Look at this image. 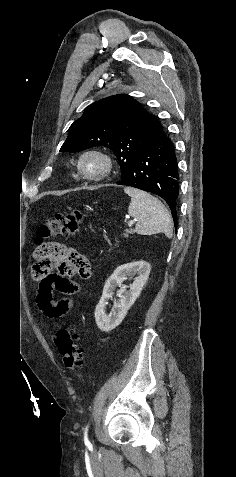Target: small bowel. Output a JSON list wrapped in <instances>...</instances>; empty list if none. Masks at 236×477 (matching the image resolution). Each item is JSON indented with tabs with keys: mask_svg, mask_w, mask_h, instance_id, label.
Returning a JSON list of instances; mask_svg holds the SVG:
<instances>
[{
	"mask_svg": "<svg viewBox=\"0 0 236 477\" xmlns=\"http://www.w3.org/2000/svg\"><path fill=\"white\" fill-rule=\"evenodd\" d=\"M49 245L57 249L58 253L43 259L38 268L33 266V276L39 283L36 304L46 318L58 320L72 310L75 305V296L82 291L79 283L70 282L67 278L75 275L84 279L90 278L92 269L90 274L81 272L84 264L78 257H83L88 265L90 263L74 248L57 242H50ZM38 271L44 274L37 275ZM55 292L62 295L58 301L54 299Z\"/></svg>",
	"mask_w": 236,
	"mask_h": 477,
	"instance_id": "c3829d8e",
	"label": "small bowel"
}]
</instances>
